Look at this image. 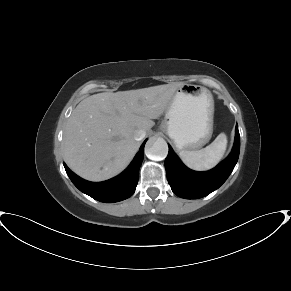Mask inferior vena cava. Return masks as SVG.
<instances>
[{"label": "inferior vena cava", "mask_w": 291, "mask_h": 291, "mask_svg": "<svg viewBox=\"0 0 291 291\" xmlns=\"http://www.w3.org/2000/svg\"><path fill=\"white\" fill-rule=\"evenodd\" d=\"M145 135H146V132L144 130H142V129L141 130H137L134 133V139L136 141H140L145 137Z\"/></svg>", "instance_id": "602c4592"}]
</instances>
